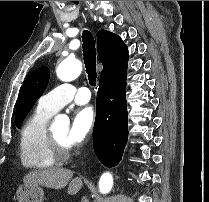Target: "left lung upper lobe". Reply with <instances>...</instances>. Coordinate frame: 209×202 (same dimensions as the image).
Wrapping results in <instances>:
<instances>
[{
    "label": "left lung upper lobe",
    "instance_id": "obj_1",
    "mask_svg": "<svg viewBox=\"0 0 209 202\" xmlns=\"http://www.w3.org/2000/svg\"><path fill=\"white\" fill-rule=\"evenodd\" d=\"M50 78L48 67L34 70L26 79L18 98L15 113V124L19 128L35 102L47 88Z\"/></svg>",
    "mask_w": 209,
    "mask_h": 202
}]
</instances>
